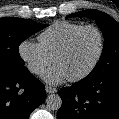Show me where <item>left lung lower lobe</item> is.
Segmentation results:
<instances>
[{
	"instance_id": "0a47b994",
	"label": "left lung lower lobe",
	"mask_w": 119,
	"mask_h": 119,
	"mask_svg": "<svg viewBox=\"0 0 119 119\" xmlns=\"http://www.w3.org/2000/svg\"><path fill=\"white\" fill-rule=\"evenodd\" d=\"M58 119H119V71L88 75L59 90Z\"/></svg>"
}]
</instances>
